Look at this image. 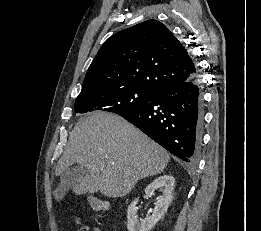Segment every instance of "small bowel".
Here are the masks:
<instances>
[{
	"label": "small bowel",
	"instance_id": "obj_1",
	"mask_svg": "<svg viewBox=\"0 0 261 231\" xmlns=\"http://www.w3.org/2000/svg\"><path fill=\"white\" fill-rule=\"evenodd\" d=\"M80 231H101V229L98 227L83 226V227H81Z\"/></svg>",
	"mask_w": 261,
	"mask_h": 231
}]
</instances>
